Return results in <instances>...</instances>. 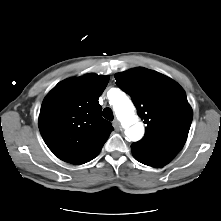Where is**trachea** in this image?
<instances>
[{"label": "trachea", "mask_w": 221, "mask_h": 221, "mask_svg": "<svg viewBox=\"0 0 221 221\" xmlns=\"http://www.w3.org/2000/svg\"><path fill=\"white\" fill-rule=\"evenodd\" d=\"M102 115L104 118H106L107 120H110V121H112L114 118L112 110L108 107L103 110Z\"/></svg>", "instance_id": "3493384b"}]
</instances>
